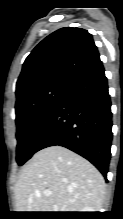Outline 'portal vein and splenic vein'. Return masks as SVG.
I'll return each mask as SVG.
<instances>
[{"label":"portal vein and splenic vein","instance_id":"1","mask_svg":"<svg viewBox=\"0 0 123 219\" xmlns=\"http://www.w3.org/2000/svg\"><path fill=\"white\" fill-rule=\"evenodd\" d=\"M44 194H45L46 196H49V195L51 194V192H50V191H45Z\"/></svg>","mask_w":123,"mask_h":219}]
</instances>
